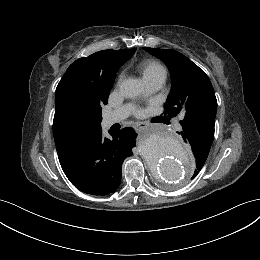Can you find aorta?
<instances>
[{"mask_svg":"<svg viewBox=\"0 0 260 260\" xmlns=\"http://www.w3.org/2000/svg\"><path fill=\"white\" fill-rule=\"evenodd\" d=\"M141 91L142 84L137 79H126L120 85V93L126 98H133ZM140 152L150 164L153 176L164 183H177L193 172L189 153L166 129L148 132L140 144Z\"/></svg>","mask_w":260,"mask_h":260,"instance_id":"obj_1","label":"aorta"}]
</instances>
